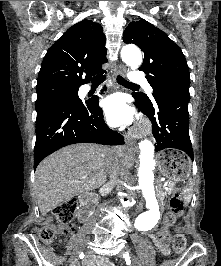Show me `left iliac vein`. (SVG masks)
<instances>
[{
	"label": "left iliac vein",
	"instance_id": "1",
	"mask_svg": "<svg viewBox=\"0 0 221 266\" xmlns=\"http://www.w3.org/2000/svg\"><path fill=\"white\" fill-rule=\"evenodd\" d=\"M121 255H123V254H121ZM130 259L132 261L133 266H142L140 260L134 254L130 253Z\"/></svg>",
	"mask_w": 221,
	"mask_h": 266
}]
</instances>
